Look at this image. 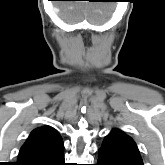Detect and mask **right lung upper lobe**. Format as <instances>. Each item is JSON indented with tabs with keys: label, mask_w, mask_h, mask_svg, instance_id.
<instances>
[{
	"label": "right lung upper lobe",
	"mask_w": 165,
	"mask_h": 165,
	"mask_svg": "<svg viewBox=\"0 0 165 165\" xmlns=\"http://www.w3.org/2000/svg\"><path fill=\"white\" fill-rule=\"evenodd\" d=\"M57 135H59V133L49 126H43L33 130L27 141L20 149L17 163L23 161L27 156L35 153L37 151L36 146Z\"/></svg>",
	"instance_id": "right-lung-upper-lobe-1"
}]
</instances>
